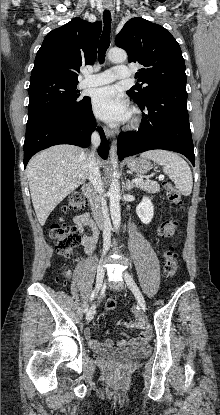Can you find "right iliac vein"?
Wrapping results in <instances>:
<instances>
[{"mask_svg": "<svg viewBox=\"0 0 220 415\" xmlns=\"http://www.w3.org/2000/svg\"><path fill=\"white\" fill-rule=\"evenodd\" d=\"M103 278H104V268L102 265H99L97 268V272H96V291H99L102 285V282H103ZM94 313H95L94 307H92L86 315L87 321H90L93 319Z\"/></svg>", "mask_w": 220, "mask_h": 415, "instance_id": "63e3f726", "label": "right iliac vein"}]
</instances>
